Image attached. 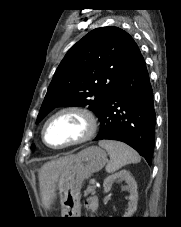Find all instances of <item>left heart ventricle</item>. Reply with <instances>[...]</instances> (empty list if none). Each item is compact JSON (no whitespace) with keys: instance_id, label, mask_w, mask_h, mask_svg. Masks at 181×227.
<instances>
[{"instance_id":"left-heart-ventricle-1","label":"left heart ventricle","mask_w":181,"mask_h":227,"mask_svg":"<svg viewBox=\"0 0 181 227\" xmlns=\"http://www.w3.org/2000/svg\"><path fill=\"white\" fill-rule=\"evenodd\" d=\"M85 129L84 121L75 114H62L53 119L46 129V139L49 144L59 146L82 135Z\"/></svg>"}]
</instances>
